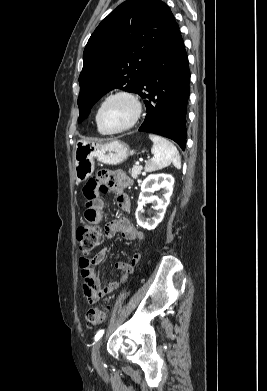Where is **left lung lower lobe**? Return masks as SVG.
Masks as SVG:
<instances>
[{
	"mask_svg": "<svg viewBox=\"0 0 267 391\" xmlns=\"http://www.w3.org/2000/svg\"><path fill=\"white\" fill-rule=\"evenodd\" d=\"M190 71L179 29L152 59L137 94L145 98L146 118L139 131L151 132L186 147Z\"/></svg>",
	"mask_w": 267,
	"mask_h": 391,
	"instance_id": "0a47b994",
	"label": "left lung lower lobe"
}]
</instances>
